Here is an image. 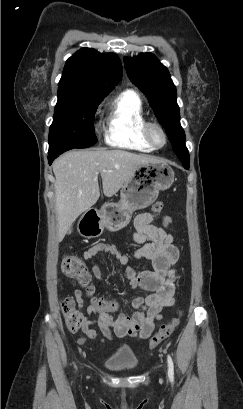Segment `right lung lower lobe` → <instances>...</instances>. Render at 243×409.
<instances>
[{
    "mask_svg": "<svg viewBox=\"0 0 243 409\" xmlns=\"http://www.w3.org/2000/svg\"><path fill=\"white\" fill-rule=\"evenodd\" d=\"M65 151H67V150L62 149V148H57V149H54V150H49V152H48V161H49V164L51 165V163L53 162V160H54L55 158H57L60 154H62L63 152H65Z\"/></svg>",
    "mask_w": 243,
    "mask_h": 409,
    "instance_id": "obj_1",
    "label": "right lung lower lobe"
}]
</instances>
